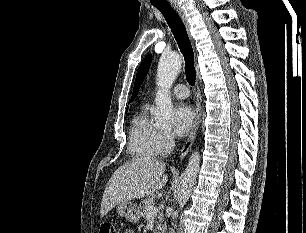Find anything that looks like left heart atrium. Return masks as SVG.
Listing matches in <instances>:
<instances>
[{
    "mask_svg": "<svg viewBox=\"0 0 306 233\" xmlns=\"http://www.w3.org/2000/svg\"><path fill=\"white\" fill-rule=\"evenodd\" d=\"M174 118V133L178 137L185 136L193 127L195 115L190 106L185 103L179 104L173 113Z\"/></svg>",
    "mask_w": 306,
    "mask_h": 233,
    "instance_id": "left-heart-atrium-1",
    "label": "left heart atrium"
}]
</instances>
